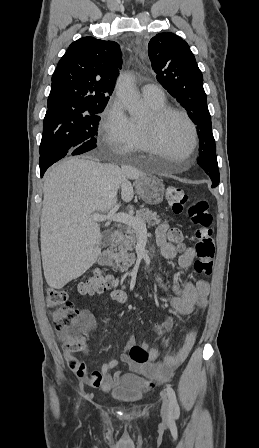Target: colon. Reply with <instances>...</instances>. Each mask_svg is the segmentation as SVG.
Masks as SVG:
<instances>
[{
	"instance_id": "5ec220e1",
	"label": "colon",
	"mask_w": 259,
	"mask_h": 448,
	"mask_svg": "<svg viewBox=\"0 0 259 448\" xmlns=\"http://www.w3.org/2000/svg\"><path fill=\"white\" fill-rule=\"evenodd\" d=\"M165 198L175 213L187 216L194 224L196 236L194 268L199 274L210 275L213 270L215 244L212 216L208 210L207 201L197 200L188 205L186 193L174 185L165 189ZM169 235L174 241H179L182 237L178 229H172ZM118 285V280L113 275L96 272L81 282L77 291L84 295L102 293L107 290L122 291L118 289ZM46 305L64 348L69 352L83 350L88 331L93 326L90 313L77 309L68 300L67 293L61 289L49 288L46 291ZM129 357L135 363H146L149 358L148 350L143 344L134 345L129 350Z\"/></svg>"
}]
</instances>
